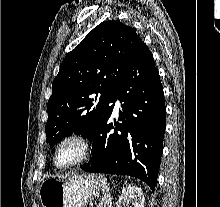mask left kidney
Returning a JSON list of instances; mask_svg holds the SVG:
<instances>
[{"label":"left kidney","mask_w":220,"mask_h":207,"mask_svg":"<svg viewBox=\"0 0 220 207\" xmlns=\"http://www.w3.org/2000/svg\"><path fill=\"white\" fill-rule=\"evenodd\" d=\"M144 201V194L140 188L126 186L118 197L116 205L117 207H144Z\"/></svg>","instance_id":"5707ae66"}]
</instances>
